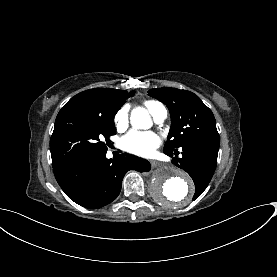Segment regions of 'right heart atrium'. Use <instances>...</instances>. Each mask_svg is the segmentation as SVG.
I'll return each instance as SVG.
<instances>
[{"label": "right heart atrium", "instance_id": "1", "mask_svg": "<svg viewBox=\"0 0 277 277\" xmlns=\"http://www.w3.org/2000/svg\"><path fill=\"white\" fill-rule=\"evenodd\" d=\"M115 126L118 130H125L128 125V117L124 110H120L114 119Z\"/></svg>", "mask_w": 277, "mask_h": 277}]
</instances>
